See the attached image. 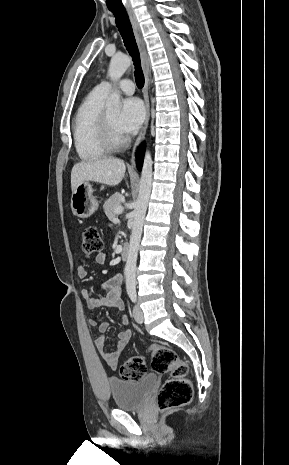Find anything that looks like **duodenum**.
<instances>
[{
	"label": "duodenum",
	"instance_id": "410a0bca",
	"mask_svg": "<svg viewBox=\"0 0 289 465\" xmlns=\"http://www.w3.org/2000/svg\"><path fill=\"white\" fill-rule=\"evenodd\" d=\"M128 255H129V246L124 245L121 249V258L123 260H126L128 258Z\"/></svg>",
	"mask_w": 289,
	"mask_h": 465
}]
</instances>
